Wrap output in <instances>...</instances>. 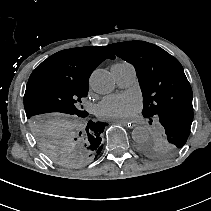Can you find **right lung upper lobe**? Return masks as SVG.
<instances>
[{
	"label": "right lung upper lobe",
	"instance_id": "right-lung-upper-lobe-1",
	"mask_svg": "<svg viewBox=\"0 0 211 211\" xmlns=\"http://www.w3.org/2000/svg\"><path fill=\"white\" fill-rule=\"evenodd\" d=\"M107 58L114 59L115 56L105 46L62 50L43 61L32 72L27 84L39 79H51L88 85L91 73Z\"/></svg>",
	"mask_w": 211,
	"mask_h": 211
}]
</instances>
